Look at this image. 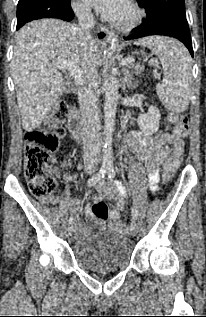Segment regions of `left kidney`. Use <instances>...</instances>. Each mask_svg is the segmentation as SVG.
I'll list each match as a JSON object with an SVG mask.
<instances>
[{"label": "left kidney", "instance_id": "1", "mask_svg": "<svg viewBox=\"0 0 206 317\" xmlns=\"http://www.w3.org/2000/svg\"><path fill=\"white\" fill-rule=\"evenodd\" d=\"M161 114L155 106H150L147 113L138 116L137 123L146 135H152L159 129Z\"/></svg>", "mask_w": 206, "mask_h": 317}]
</instances>
